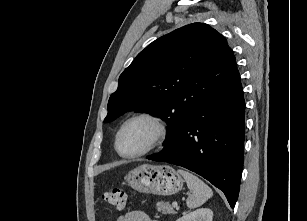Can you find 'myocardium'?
I'll use <instances>...</instances> for the list:
<instances>
[{"label": "myocardium", "mask_w": 307, "mask_h": 221, "mask_svg": "<svg viewBox=\"0 0 307 221\" xmlns=\"http://www.w3.org/2000/svg\"><path fill=\"white\" fill-rule=\"evenodd\" d=\"M138 120H146L150 122L154 129H155V134L150 142V144L142 151L138 153H133V154H125L120 150L119 147V142H120V137L124 131V129L132 122L138 121ZM168 135V129L167 126L164 122V120L159 117L156 114L149 113V112H141L137 113L128 119H126L122 125L120 126L116 137H115V148L116 151L119 153L120 156L127 158V159H133V158H138L144 155H147L148 153L152 152L155 150L157 147H159L167 138Z\"/></svg>", "instance_id": "myocardium-1"}]
</instances>
